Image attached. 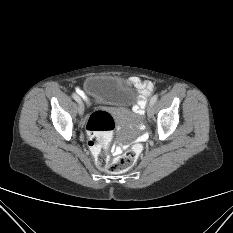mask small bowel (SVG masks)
Returning <instances> with one entry per match:
<instances>
[{
	"mask_svg": "<svg viewBox=\"0 0 233 233\" xmlns=\"http://www.w3.org/2000/svg\"><path fill=\"white\" fill-rule=\"evenodd\" d=\"M130 82L134 85V87L138 90L139 92V101L138 105L134 108L136 111L144 107L145 100L150 94L152 93L154 89V85L152 82L148 80H141L139 77H131ZM77 93L80 95H84L83 91L80 88L76 89ZM123 146L122 145H117L113 147L112 151L115 155H118L122 152Z\"/></svg>",
	"mask_w": 233,
	"mask_h": 233,
	"instance_id": "small-bowel-1",
	"label": "small bowel"
}]
</instances>
